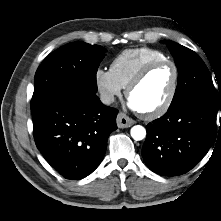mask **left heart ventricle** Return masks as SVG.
<instances>
[{"label":"left heart ventricle","instance_id":"obj_1","mask_svg":"<svg viewBox=\"0 0 221 221\" xmlns=\"http://www.w3.org/2000/svg\"><path fill=\"white\" fill-rule=\"evenodd\" d=\"M173 68L162 65L149 73L144 81L131 93L130 100L139 111H151L157 108L167 97L172 81Z\"/></svg>","mask_w":221,"mask_h":221}]
</instances>
